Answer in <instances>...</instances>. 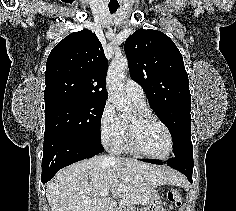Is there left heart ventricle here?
Segmentation results:
<instances>
[{
	"label": "left heart ventricle",
	"instance_id": "left-heart-ventricle-1",
	"mask_svg": "<svg viewBox=\"0 0 236 211\" xmlns=\"http://www.w3.org/2000/svg\"><path fill=\"white\" fill-rule=\"evenodd\" d=\"M135 129L136 142L138 147L149 154L163 155L169 147L168 136L161 125L156 122H141L135 113L127 118Z\"/></svg>",
	"mask_w": 236,
	"mask_h": 211
}]
</instances>
